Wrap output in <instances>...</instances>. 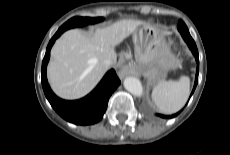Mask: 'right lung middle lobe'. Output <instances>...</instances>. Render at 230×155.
Here are the masks:
<instances>
[{"mask_svg": "<svg viewBox=\"0 0 230 155\" xmlns=\"http://www.w3.org/2000/svg\"><path fill=\"white\" fill-rule=\"evenodd\" d=\"M103 17H96V18H90V17H73L70 20H68L65 24H63L59 30L64 32L70 28L74 27H81L88 24H94L100 21H103Z\"/></svg>", "mask_w": 230, "mask_h": 155, "instance_id": "right-lung-middle-lobe-1", "label": "right lung middle lobe"}]
</instances>
